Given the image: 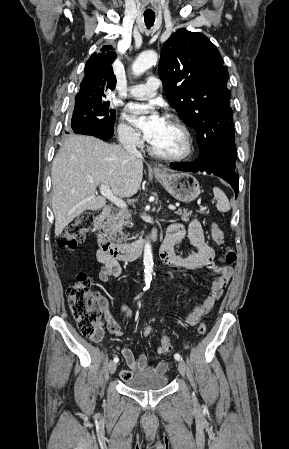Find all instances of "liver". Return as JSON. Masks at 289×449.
I'll return each instance as SVG.
<instances>
[{"instance_id":"1","label":"liver","mask_w":289,"mask_h":449,"mask_svg":"<svg viewBox=\"0 0 289 449\" xmlns=\"http://www.w3.org/2000/svg\"><path fill=\"white\" fill-rule=\"evenodd\" d=\"M51 176L55 235L59 236L84 211L106 205V199L96 195V186L107 185L120 197L136 194L142 182L143 162L118 145L73 135L55 156Z\"/></svg>"}]
</instances>
